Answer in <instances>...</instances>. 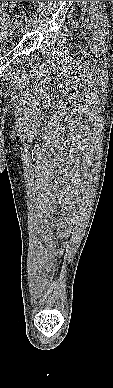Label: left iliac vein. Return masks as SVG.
Masks as SVG:
<instances>
[{
    "mask_svg": "<svg viewBox=\"0 0 113 388\" xmlns=\"http://www.w3.org/2000/svg\"><path fill=\"white\" fill-rule=\"evenodd\" d=\"M22 32H27L29 30V24L25 23L21 27Z\"/></svg>",
    "mask_w": 113,
    "mask_h": 388,
    "instance_id": "1",
    "label": "left iliac vein"
}]
</instances>
